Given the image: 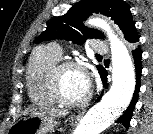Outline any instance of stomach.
I'll return each instance as SVG.
<instances>
[{"instance_id": "1", "label": "stomach", "mask_w": 153, "mask_h": 134, "mask_svg": "<svg viewBox=\"0 0 153 134\" xmlns=\"http://www.w3.org/2000/svg\"><path fill=\"white\" fill-rule=\"evenodd\" d=\"M56 119H46L39 113L27 114L14 123L9 134H49L57 126Z\"/></svg>"}]
</instances>
